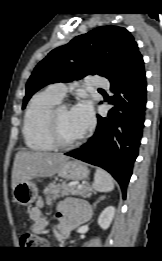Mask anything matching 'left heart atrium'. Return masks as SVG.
I'll list each match as a JSON object with an SVG mask.
<instances>
[{"label": "left heart atrium", "instance_id": "39dd6f15", "mask_svg": "<svg viewBox=\"0 0 162 261\" xmlns=\"http://www.w3.org/2000/svg\"><path fill=\"white\" fill-rule=\"evenodd\" d=\"M71 116L83 134L94 122L93 109L89 101H81L71 110Z\"/></svg>", "mask_w": 162, "mask_h": 261}]
</instances>
